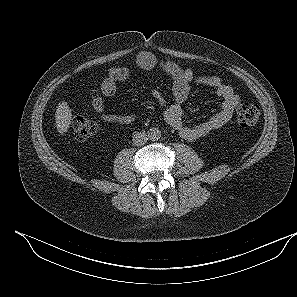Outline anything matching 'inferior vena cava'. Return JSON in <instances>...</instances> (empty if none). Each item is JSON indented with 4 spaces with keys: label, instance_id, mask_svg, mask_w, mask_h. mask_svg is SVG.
Returning a JSON list of instances; mask_svg holds the SVG:
<instances>
[{
    "label": "inferior vena cava",
    "instance_id": "obj_1",
    "mask_svg": "<svg viewBox=\"0 0 297 297\" xmlns=\"http://www.w3.org/2000/svg\"><path fill=\"white\" fill-rule=\"evenodd\" d=\"M148 140V135L143 132H137L133 136V144L136 146H143Z\"/></svg>",
    "mask_w": 297,
    "mask_h": 297
}]
</instances>
